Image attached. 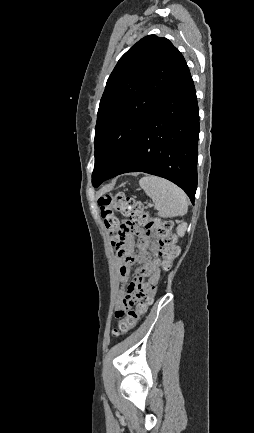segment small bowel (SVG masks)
<instances>
[{
  "label": "small bowel",
  "instance_id": "c3829d8e",
  "mask_svg": "<svg viewBox=\"0 0 254 433\" xmlns=\"http://www.w3.org/2000/svg\"><path fill=\"white\" fill-rule=\"evenodd\" d=\"M134 246L138 253H134ZM157 246L153 242L150 232L138 233L136 242L132 237L126 241V254L117 256L118 280L125 283V288L117 305L120 309L128 296L135 297L137 301L150 303L156 293L160 281V262L156 258ZM136 266V274L133 281L127 283L131 269Z\"/></svg>",
  "mask_w": 254,
  "mask_h": 433
}]
</instances>
